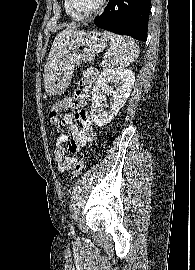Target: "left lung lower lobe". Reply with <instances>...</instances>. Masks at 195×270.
<instances>
[{
	"label": "left lung lower lobe",
	"instance_id": "1",
	"mask_svg": "<svg viewBox=\"0 0 195 270\" xmlns=\"http://www.w3.org/2000/svg\"><path fill=\"white\" fill-rule=\"evenodd\" d=\"M151 0H109L104 12L94 24L107 31L147 39Z\"/></svg>",
	"mask_w": 195,
	"mask_h": 270
}]
</instances>
